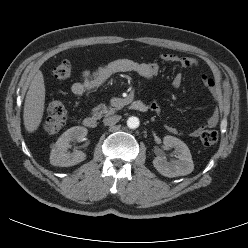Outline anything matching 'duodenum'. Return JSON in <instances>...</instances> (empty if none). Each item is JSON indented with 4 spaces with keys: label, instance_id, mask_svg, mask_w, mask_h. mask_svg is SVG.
Listing matches in <instances>:
<instances>
[{
    "label": "duodenum",
    "instance_id": "duodenum-1",
    "mask_svg": "<svg viewBox=\"0 0 248 248\" xmlns=\"http://www.w3.org/2000/svg\"><path fill=\"white\" fill-rule=\"evenodd\" d=\"M123 102L125 105H129L132 110L138 112H145L150 108L149 103H146L142 100H134L130 96L124 98ZM99 120L100 114H92L84 118L83 125L87 128L93 129L97 127Z\"/></svg>",
    "mask_w": 248,
    "mask_h": 248
}]
</instances>
